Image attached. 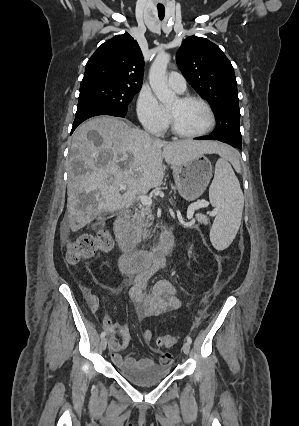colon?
Instances as JSON below:
<instances>
[{"label": "colon", "mask_w": 299, "mask_h": 426, "mask_svg": "<svg viewBox=\"0 0 299 426\" xmlns=\"http://www.w3.org/2000/svg\"><path fill=\"white\" fill-rule=\"evenodd\" d=\"M112 241L106 231H99L95 234H84L75 241H67L66 257L68 262L77 263L84 258H89L97 252L108 250ZM177 343V338L172 335H162L156 338L159 347H172Z\"/></svg>", "instance_id": "obj_1"}]
</instances>
